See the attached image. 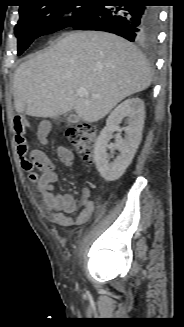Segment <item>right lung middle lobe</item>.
Here are the masks:
<instances>
[{"label":"right lung middle lobe","mask_w":184,"mask_h":327,"mask_svg":"<svg viewBox=\"0 0 184 327\" xmlns=\"http://www.w3.org/2000/svg\"><path fill=\"white\" fill-rule=\"evenodd\" d=\"M43 1L32 4L19 11L20 19L15 26V35L18 40L17 55H21L31 42L39 36L54 33L62 27V15L72 12L67 21L73 25L83 20L93 9L94 5L83 6H44ZM72 25V26H73Z\"/></svg>","instance_id":"dd1d6c3e"}]
</instances>
